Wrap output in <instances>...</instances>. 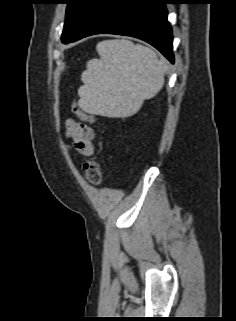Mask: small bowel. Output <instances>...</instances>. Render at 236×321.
<instances>
[{
    "label": "small bowel",
    "mask_w": 236,
    "mask_h": 321,
    "mask_svg": "<svg viewBox=\"0 0 236 321\" xmlns=\"http://www.w3.org/2000/svg\"><path fill=\"white\" fill-rule=\"evenodd\" d=\"M81 121H84L80 119ZM66 136L71 140L73 148L80 154L90 155L93 152L94 131L84 122L67 119Z\"/></svg>",
    "instance_id": "obj_1"
}]
</instances>
